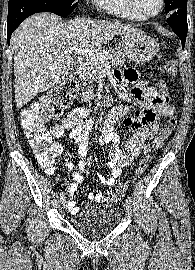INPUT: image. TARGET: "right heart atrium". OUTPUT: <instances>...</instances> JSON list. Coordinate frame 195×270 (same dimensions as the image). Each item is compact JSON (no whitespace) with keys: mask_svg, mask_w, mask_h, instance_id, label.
I'll return each instance as SVG.
<instances>
[{"mask_svg":"<svg viewBox=\"0 0 195 270\" xmlns=\"http://www.w3.org/2000/svg\"><path fill=\"white\" fill-rule=\"evenodd\" d=\"M92 1H94V2H96V3H98V4H99V1H100V0H92Z\"/></svg>","mask_w":195,"mask_h":270,"instance_id":"1","label":"right heart atrium"}]
</instances>
